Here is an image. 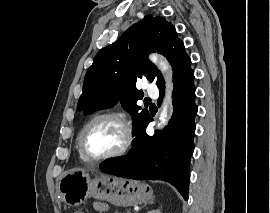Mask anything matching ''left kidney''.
<instances>
[{"mask_svg":"<svg viewBox=\"0 0 270 213\" xmlns=\"http://www.w3.org/2000/svg\"><path fill=\"white\" fill-rule=\"evenodd\" d=\"M147 213H161V211L160 210H152V211H149Z\"/></svg>","mask_w":270,"mask_h":213,"instance_id":"obj_1","label":"left kidney"}]
</instances>
